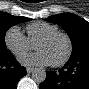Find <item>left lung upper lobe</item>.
<instances>
[{"instance_id": "left-lung-upper-lobe-1", "label": "left lung upper lobe", "mask_w": 89, "mask_h": 89, "mask_svg": "<svg viewBox=\"0 0 89 89\" xmlns=\"http://www.w3.org/2000/svg\"><path fill=\"white\" fill-rule=\"evenodd\" d=\"M46 21L58 24L69 35L73 50L70 58L89 53V23L71 13L51 16Z\"/></svg>"}]
</instances>
